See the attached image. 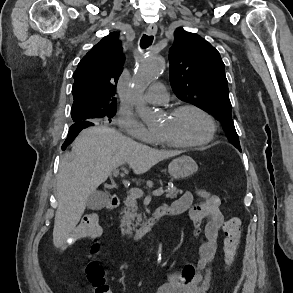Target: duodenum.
I'll return each instance as SVG.
<instances>
[{
  "mask_svg": "<svg viewBox=\"0 0 293 293\" xmlns=\"http://www.w3.org/2000/svg\"><path fill=\"white\" fill-rule=\"evenodd\" d=\"M120 205V197L117 194L111 195L107 208L110 210L116 209ZM179 214L178 210L172 206H159L155 208L147 220L133 232V240L136 241L146 232L152 230L160 220L166 215Z\"/></svg>",
  "mask_w": 293,
  "mask_h": 293,
  "instance_id": "obj_1",
  "label": "duodenum"
}]
</instances>
